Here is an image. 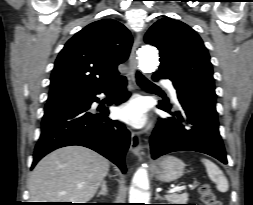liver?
Listing matches in <instances>:
<instances>
[{"mask_svg":"<svg viewBox=\"0 0 253 205\" xmlns=\"http://www.w3.org/2000/svg\"><path fill=\"white\" fill-rule=\"evenodd\" d=\"M109 171V161L82 147L57 149L38 162L28 189L33 202L86 203L97 192Z\"/></svg>","mask_w":253,"mask_h":205,"instance_id":"6515ba94","label":"liver"}]
</instances>
